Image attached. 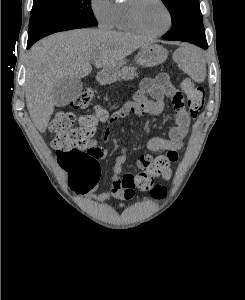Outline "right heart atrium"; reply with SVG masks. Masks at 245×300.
<instances>
[{
	"label": "right heart atrium",
	"mask_w": 245,
	"mask_h": 300,
	"mask_svg": "<svg viewBox=\"0 0 245 300\" xmlns=\"http://www.w3.org/2000/svg\"><path fill=\"white\" fill-rule=\"evenodd\" d=\"M90 8L100 26H111L114 10L113 0H90Z\"/></svg>",
	"instance_id": "1"
}]
</instances>
